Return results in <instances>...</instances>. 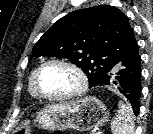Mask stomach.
<instances>
[{
	"instance_id": "0dacf381",
	"label": "stomach",
	"mask_w": 153,
	"mask_h": 134,
	"mask_svg": "<svg viewBox=\"0 0 153 134\" xmlns=\"http://www.w3.org/2000/svg\"><path fill=\"white\" fill-rule=\"evenodd\" d=\"M108 119L106 106L89 96L71 103L51 104L36 112L33 123L44 130L89 131L103 126ZM31 121H25L16 129L18 134H30Z\"/></svg>"
}]
</instances>
